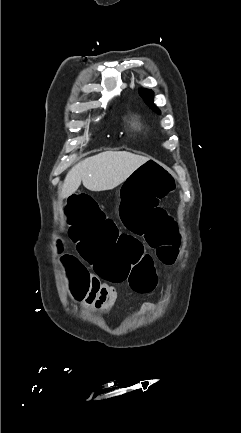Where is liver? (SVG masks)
I'll list each match as a JSON object with an SVG mask.
<instances>
[{
    "mask_svg": "<svg viewBox=\"0 0 241 433\" xmlns=\"http://www.w3.org/2000/svg\"><path fill=\"white\" fill-rule=\"evenodd\" d=\"M149 159L126 151H107L89 157L68 172L61 186L60 197L71 196L81 182L94 192L114 189Z\"/></svg>",
    "mask_w": 241,
    "mask_h": 433,
    "instance_id": "1",
    "label": "liver"
}]
</instances>
